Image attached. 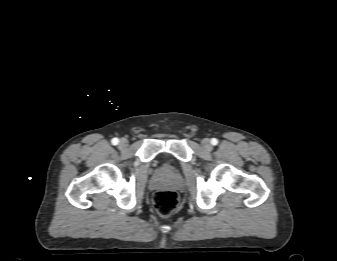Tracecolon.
<instances>
[{
  "mask_svg": "<svg viewBox=\"0 0 337 261\" xmlns=\"http://www.w3.org/2000/svg\"><path fill=\"white\" fill-rule=\"evenodd\" d=\"M179 204V196L172 190H160L153 196V206L161 216H169Z\"/></svg>",
  "mask_w": 337,
  "mask_h": 261,
  "instance_id": "5ec220e1",
  "label": "colon"
}]
</instances>
